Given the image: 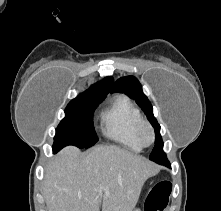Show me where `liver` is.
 <instances>
[{
    "mask_svg": "<svg viewBox=\"0 0 221 211\" xmlns=\"http://www.w3.org/2000/svg\"><path fill=\"white\" fill-rule=\"evenodd\" d=\"M156 173L148 159L118 146L85 153L69 146L46 166L43 194L48 211H100L101 202L102 211H133Z\"/></svg>",
    "mask_w": 221,
    "mask_h": 211,
    "instance_id": "1",
    "label": "liver"
}]
</instances>
